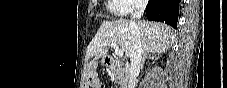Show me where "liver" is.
Instances as JSON below:
<instances>
[{
    "label": "liver",
    "instance_id": "1",
    "mask_svg": "<svg viewBox=\"0 0 227 88\" xmlns=\"http://www.w3.org/2000/svg\"><path fill=\"white\" fill-rule=\"evenodd\" d=\"M145 53L162 54L174 44L176 35L166 24L150 21L135 22ZM111 43H116L130 57L131 32L126 20L104 21L87 48L86 59H99L107 53Z\"/></svg>",
    "mask_w": 227,
    "mask_h": 88
}]
</instances>
